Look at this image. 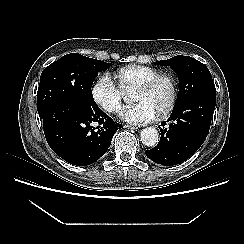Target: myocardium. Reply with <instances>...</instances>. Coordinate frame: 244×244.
<instances>
[{"label":"myocardium","mask_w":244,"mask_h":244,"mask_svg":"<svg viewBox=\"0 0 244 244\" xmlns=\"http://www.w3.org/2000/svg\"><path fill=\"white\" fill-rule=\"evenodd\" d=\"M161 80H168L171 86L170 99L166 107L157 113V117L164 118L168 116L174 109L178 100V82L172 73H159L149 80L145 81L142 85L135 89V92H148L151 91L158 82Z\"/></svg>","instance_id":"1"}]
</instances>
